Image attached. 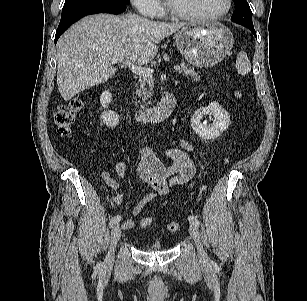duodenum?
Here are the masks:
<instances>
[{
  "label": "duodenum",
  "instance_id": "duodenum-1",
  "mask_svg": "<svg viewBox=\"0 0 307 301\" xmlns=\"http://www.w3.org/2000/svg\"><path fill=\"white\" fill-rule=\"evenodd\" d=\"M175 105V95L173 93H169L156 106L146 108L140 105H134L133 109L136 116L140 120L149 123H161L171 116Z\"/></svg>",
  "mask_w": 307,
  "mask_h": 301
}]
</instances>
